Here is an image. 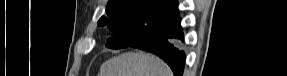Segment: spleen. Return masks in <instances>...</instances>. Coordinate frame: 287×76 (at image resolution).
Returning a JSON list of instances; mask_svg holds the SVG:
<instances>
[{
    "label": "spleen",
    "instance_id": "3e777b00",
    "mask_svg": "<svg viewBox=\"0 0 287 76\" xmlns=\"http://www.w3.org/2000/svg\"><path fill=\"white\" fill-rule=\"evenodd\" d=\"M101 76H172L169 66L160 58L146 53L127 52L106 61Z\"/></svg>",
    "mask_w": 287,
    "mask_h": 76
}]
</instances>
